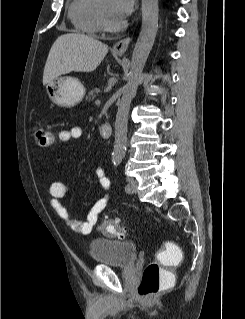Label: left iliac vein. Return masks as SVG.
I'll list each match as a JSON object with an SVG mask.
<instances>
[{
  "label": "left iliac vein",
  "instance_id": "left-iliac-vein-1",
  "mask_svg": "<svg viewBox=\"0 0 245 319\" xmlns=\"http://www.w3.org/2000/svg\"><path fill=\"white\" fill-rule=\"evenodd\" d=\"M129 190L128 193H134L137 191V181L135 178H128Z\"/></svg>",
  "mask_w": 245,
  "mask_h": 319
}]
</instances>
